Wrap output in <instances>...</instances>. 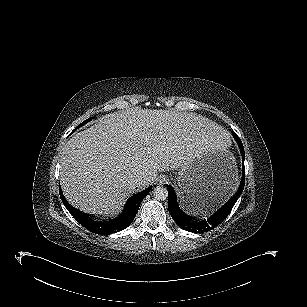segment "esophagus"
Returning a JSON list of instances; mask_svg holds the SVG:
<instances>
[{"label": "esophagus", "instance_id": "esophagus-1", "mask_svg": "<svg viewBox=\"0 0 307 307\" xmlns=\"http://www.w3.org/2000/svg\"><path fill=\"white\" fill-rule=\"evenodd\" d=\"M168 182V179H166L165 177H162L159 179V184H165Z\"/></svg>", "mask_w": 307, "mask_h": 307}]
</instances>
